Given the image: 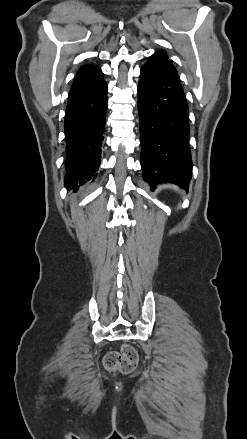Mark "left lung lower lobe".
I'll use <instances>...</instances> for the list:
<instances>
[{
	"instance_id": "obj_1",
	"label": "left lung lower lobe",
	"mask_w": 247,
	"mask_h": 439,
	"mask_svg": "<svg viewBox=\"0 0 247 439\" xmlns=\"http://www.w3.org/2000/svg\"><path fill=\"white\" fill-rule=\"evenodd\" d=\"M138 111L144 180L187 188L192 173L188 106L179 76L152 58L141 69Z\"/></svg>"
}]
</instances>
